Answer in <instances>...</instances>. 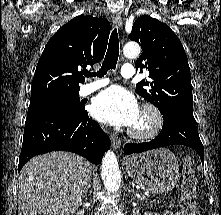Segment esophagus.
<instances>
[{"label": "esophagus", "mask_w": 221, "mask_h": 215, "mask_svg": "<svg viewBox=\"0 0 221 215\" xmlns=\"http://www.w3.org/2000/svg\"><path fill=\"white\" fill-rule=\"evenodd\" d=\"M113 24L120 29L122 27V18L120 12H113L111 15ZM112 146L115 150L121 147V139L116 135H111Z\"/></svg>", "instance_id": "1"}]
</instances>
